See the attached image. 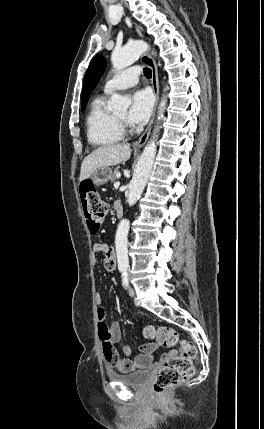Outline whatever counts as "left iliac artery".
Returning <instances> with one entry per match:
<instances>
[{
	"mask_svg": "<svg viewBox=\"0 0 264 429\" xmlns=\"http://www.w3.org/2000/svg\"><path fill=\"white\" fill-rule=\"evenodd\" d=\"M122 283H123L124 287L128 286V273H127V270H123V273H122Z\"/></svg>",
	"mask_w": 264,
	"mask_h": 429,
	"instance_id": "1",
	"label": "left iliac artery"
}]
</instances>
